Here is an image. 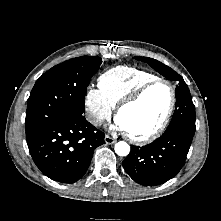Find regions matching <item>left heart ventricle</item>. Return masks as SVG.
<instances>
[{
	"label": "left heart ventricle",
	"instance_id": "1",
	"mask_svg": "<svg viewBox=\"0 0 221 221\" xmlns=\"http://www.w3.org/2000/svg\"><path fill=\"white\" fill-rule=\"evenodd\" d=\"M170 102V91L163 83L149 88L135 104L123 109L119 121L127 132L135 136L149 134L163 120Z\"/></svg>",
	"mask_w": 221,
	"mask_h": 221
}]
</instances>
